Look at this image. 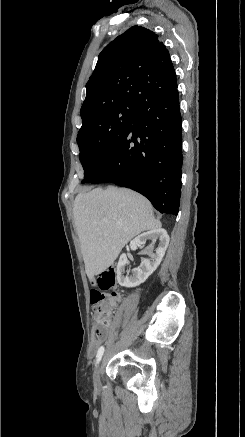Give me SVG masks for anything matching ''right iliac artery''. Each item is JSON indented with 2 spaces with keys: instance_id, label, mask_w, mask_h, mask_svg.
<instances>
[{
  "instance_id": "82829eb1",
  "label": "right iliac artery",
  "mask_w": 245,
  "mask_h": 437,
  "mask_svg": "<svg viewBox=\"0 0 245 437\" xmlns=\"http://www.w3.org/2000/svg\"><path fill=\"white\" fill-rule=\"evenodd\" d=\"M104 353V347L101 346L97 352V356H96V363H99V361L101 360L102 356Z\"/></svg>"
}]
</instances>
